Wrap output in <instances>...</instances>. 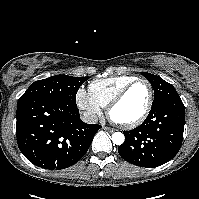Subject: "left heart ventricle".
Here are the masks:
<instances>
[{"mask_svg": "<svg viewBox=\"0 0 199 199\" xmlns=\"http://www.w3.org/2000/svg\"><path fill=\"white\" fill-rule=\"evenodd\" d=\"M148 96V86L142 82L137 83L112 110V118L119 122H129L138 118L147 105Z\"/></svg>", "mask_w": 199, "mask_h": 199, "instance_id": "b2bd125f", "label": "left heart ventricle"}]
</instances>
